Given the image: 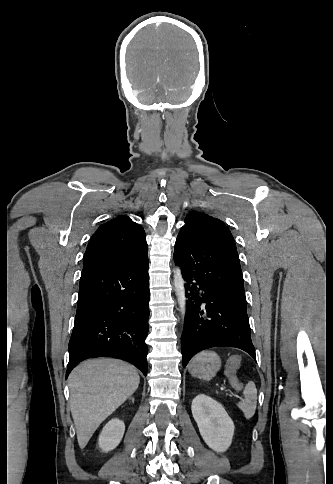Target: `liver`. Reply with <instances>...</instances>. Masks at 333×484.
Returning a JSON list of instances; mask_svg holds the SVG:
<instances>
[{
  "mask_svg": "<svg viewBox=\"0 0 333 484\" xmlns=\"http://www.w3.org/2000/svg\"><path fill=\"white\" fill-rule=\"evenodd\" d=\"M71 413L83 449L99 425L138 388L136 369L120 360H87L69 375Z\"/></svg>",
  "mask_w": 333,
  "mask_h": 484,
  "instance_id": "liver-1",
  "label": "liver"
}]
</instances>
